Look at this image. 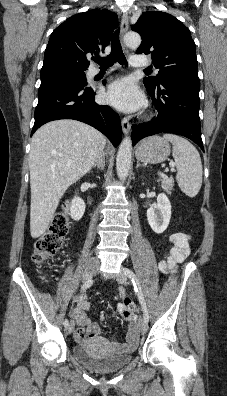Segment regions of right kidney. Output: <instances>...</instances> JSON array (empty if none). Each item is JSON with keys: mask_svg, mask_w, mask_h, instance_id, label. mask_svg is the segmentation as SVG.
Listing matches in <instances>:
<instances>
[{"mask_svg": "<svg viewBox=\"0 0 227 396\" xmlns=\"http://www.w3.org/2000/svg\"><path fill=\"white\" fill-rule=\"evenodd\" d=\"M85 202L79 198L75 197L70 205V215L72 219L78 221L82 218L85 212Z\"/></svg>", "mask_w": 227, "mask_h": 396, "instance_id": "right-kidney-1", "label": "right kidney"}]
</instances>
